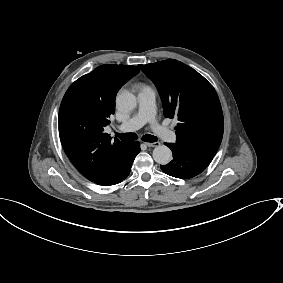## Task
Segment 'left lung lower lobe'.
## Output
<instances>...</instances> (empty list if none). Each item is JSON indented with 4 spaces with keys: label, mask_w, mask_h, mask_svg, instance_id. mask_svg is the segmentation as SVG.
<instances>
[{
    "label": "left lung lower lobe",
    "mask_w": 283,
    "mask_h": 283,
    "mask_svg": "<svg viewBox=\"0 0 283 283\" xmlns=\"http://www.w3.org/2000/svg\"><path fill=\"white\" fill-rule=\"evenodd\" d=\"M173 153V160L167 165H161L164 173L180 178H192L203 172L213 159V156L188 149L182 145L165 143Z\"/></svg>",
    "instance_id": "obj_1"
}]
</instances>
